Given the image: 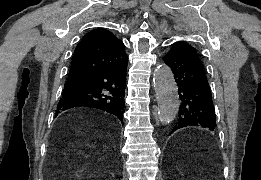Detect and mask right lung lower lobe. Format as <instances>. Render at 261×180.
Returning a JSON list of instances; mask_svg holds the SVG:
<instances>
[{
  "label": "right lung lower lobe",
  "mask_w": 261,
  "mask_h": 180,
  "mask_svg": "<svg viewBox=\"0 0 261 180\" xmlns=\"http://www.w3.org/2000/svg\"><path fill=\"white\" fill-rule=\"evenodd\" d=\"M125 64L101 69L88 76L78 89L63 93L56 115L74 107H92L114 114L123 121L126 86Z\"/></svg>",
  "instance_id": "right-lung-lower-lobe-1"
}]
</instances>
